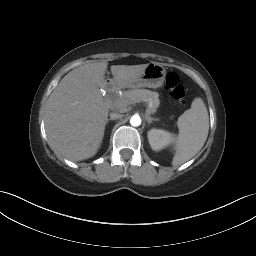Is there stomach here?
<instances>
[{
    "instance_id": "obj_1",
    "label": "stomach",
    "mask_w": 256,
    "mask_h": 256,
    "mask_svg": "<svg viewBox=\"0 0 256 256\" xmlns=\"http://www.w3.org/2000/svg\"><path fill=\"white\" fill-rule=\"evenodd\" d=\"M166 70L158 62H150L144 72L138 77L130 80L124 86L130 88L148 87L157 89L163 86Z\"/></svg>"
}]
</instances>
